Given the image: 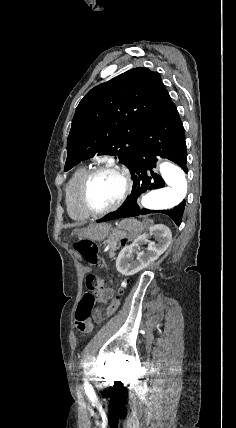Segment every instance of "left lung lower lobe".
I'll list each match as a JSON object with an SVG mask.
<instances>
[{
	"label": "left lung lower lobe",
	"instance_id": "obj_1",
	"mask_svg": "<svg viewBox=\"0 0 236 428\" xmlns=\"http://www.w3.org/2000/svg\"><path fill=\"white\" fill-rule=\"evenodd\" d=\"M137 145L139 148L135 151L128 166L134 181L128 200L117 211L106 215L97 222L162 213L170 216L177 225H180L185 200L173 209L159 211L140 208L136 202L140 194L147 190L165 186L162 177L153 170V167L156 166V156L167 158L179 165L184 172H188L184 128L174 103L145 126Z\"/></svg>",
	"mask_w": 236,
	"mask_h": 428
}]
</instances>
